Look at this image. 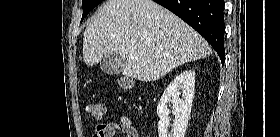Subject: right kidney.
Listing matches in <instances>:
<instances>
[{"instance_id": "ca27d5eb", "label": "right kidney", "mask_w": 280, "mask_h": 137, "mask_svg": "<svg viewBox=\"0 0 280 137\" xmlns=\"http://www.w3.org/2000/svg\"><path fill=\"white\" fill-rule=\"evenodd\" d=\"M194 89L195 72L192 70L182 72L166 88L157 106V115L160 118L159 137H184L191 114ZM170 103L173 105L172 113L175 117L171 127L172 133H168L170 126L168 104Z\"/></svg>"}]
</instances>
